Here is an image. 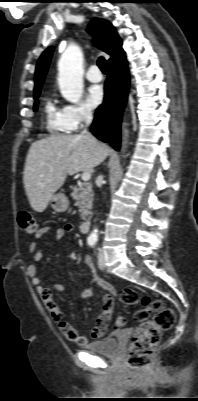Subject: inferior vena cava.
<instances>
[{
  "label": "inferior vena cava",
  "instance_id": "602c4592",
  "mask_svg": "<svg viewBox=\"0 0 198 401\" xmlns=\"http://www.w3.org/2000/svg\"><path fill=\"white\" fill-rule=\"evenodd\" d=\"M83 117H84V121H85L86 127H88V126L90 125V123L92 122V113H91V111H90V110H85L84 113H83ZM81 134H82V135H85V136H87V137H89V138H94V137L91 135V133H89V132L87 131L86 128L82 131ZM102 179H103V177H102L101 175L98 176V178H97L98 186H99V187H101V185H102Z\"/></svg>",
  "mask_w": 198,
  "mask_h": 401
}]
</instances>
